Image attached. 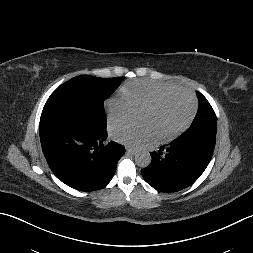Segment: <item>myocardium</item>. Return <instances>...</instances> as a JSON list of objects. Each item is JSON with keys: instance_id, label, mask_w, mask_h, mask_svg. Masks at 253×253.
<instances>
[{"instance_id": "myocardium-1", "label": "myocardium", "mask_w": 253, "mask_h": 253, "mask_svg": "<svg viewBox=\"0 0 253 253\" xmlns=\"http://www.w3.org/2000/svg\"><path fill=\"white\" fill-rule=\"evenodd\" d=\"M175 93H184V94H186L189 97V99L191 100V103H192L191 113H190L189 117L187 118V120L181 126H179L177 129H175L174 131H172V132H170V133H168L166 135L155 136V140L157 142H168V141L173 140L177 136H179L181 133H183L191 125V123L194 120L195 115L197 113L198 102H197V99H196L195 95L190 90H188L186 88H182V87L168 89V90H164V91L158 93L147 104H145L141 108V110H151L164 97H166L168 95H171V94H175Z\"/></svg>"}]
</instances>
